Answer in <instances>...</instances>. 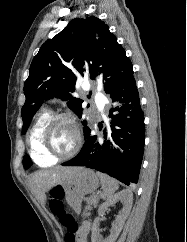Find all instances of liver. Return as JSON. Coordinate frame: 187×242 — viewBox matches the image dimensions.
<instances>
[{"label":"liver","instance_id":"liver-1","mask_svg":"<svg viewBox=\"0 0 187 242\" xmlns=\"http://www.w3.org/2000/svg\"><path fill=\"white\" fill-rule=\"evenodd\" d=\"M78 167H56L50 170L35 172L30 179L32 188L42 205L46 203V192L57 185H64V181Z\"/></svg>","mask_w":187,"mask_h":242}]
</instances>
